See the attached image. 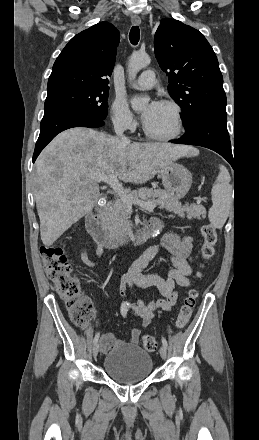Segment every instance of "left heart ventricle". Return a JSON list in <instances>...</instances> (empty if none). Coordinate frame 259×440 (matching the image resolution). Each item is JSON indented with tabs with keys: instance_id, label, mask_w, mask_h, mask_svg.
<instances>
[{
	"instance_id": "obj_1",
	"label": "left heart ventricle",
	"mask_w": 259,
	"mask_h": 440,
	"mask_svg": "<svg viewBox=\"0 0 259 440\" xmlns=\"http://www.w3.org/2000/svg\"><path fill=\"white\" fill-rule=\"evenodd\" d=\"M154 134L168 135L174 130V114L170 107L160 104L154 116L145 124Z\"/></svg>"
}]
</instances>
